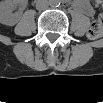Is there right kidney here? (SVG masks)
Masks as SVG:
<instances>
[{"instance_id":"1","label":"right kidney","mask_w":103,"mask_h":103,"mask_svg":"<svg viewBox=\"0 0 103 103\" xmlns=\"http://www.w3.org/2000/svg\"><path fill=\"white\" fill-rule=\"evenodd\" d=\"M19 2L15 0H4L0 4V22L7 26H14L20 19V13H12Z\"/></svg>"}]
</instances>
